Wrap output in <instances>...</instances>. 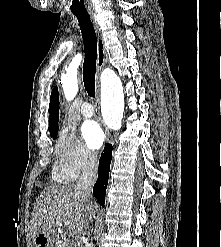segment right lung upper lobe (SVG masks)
<instances>
[{
	"label": "right lung upper lobe",
	"instance_id": "cb5924a9",
	"mask_svg": "<svg viewBox=\"0 0 221 247\" xmlns=\"http://www.w3.org/2000/svg\"><path fill=\"white\" fill-rule=\"evenodd\" d=\"M49 113V131L50 136L54 138L58 133L59 121V95L57 87H54L50 96Z\"/></svg>",
	"mask_w": 221,
	"mask_h": 247
}]
</instances>
